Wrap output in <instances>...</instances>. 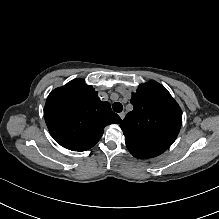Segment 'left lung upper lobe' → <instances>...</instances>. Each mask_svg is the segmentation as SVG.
<instances>
[{
  "mask_svg": "<svg viewBox=\"0 0 219 219\" xmlns=\"http://www.w3.org/2000/svg\"><path fill=\"white\" fill-rule=\"evenodd\" d=\"M133 110L120 124L129 152L148 159L166 151L177 138L182 112L171 94L158 82L141 84L132 94Z\"/></svg>",
  "mask_w": 219,
  "mask_h": 219,
  "instance_id": "obj_1",
  "label": "left lung upper lobe"
}]
</instances>
